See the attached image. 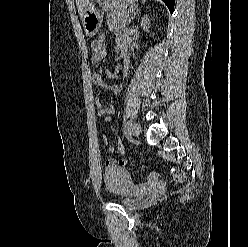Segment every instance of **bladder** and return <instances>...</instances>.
<instances>
[{
  "label": "bladder",
  "mask_w": 248,
  "mask_h": 247,
  "mask_svg": "<svg viewBox=\"0 0 248 247\" xmlns=\"http://www.w3.org/2000/svg\"><path fill=\"white\" fill-rule=\"evenodd\" d=\"M104 182L108 193L120 204L130 205L141 195L130 173L123 168H111L104 173Z\"/></svg>",
  "instance_id": "obj_1"
}]
</instances>
